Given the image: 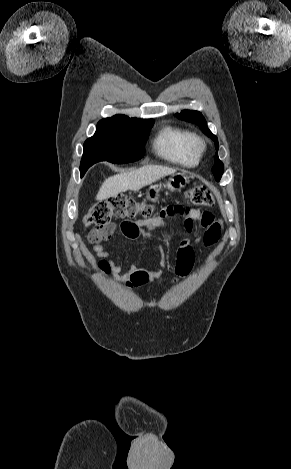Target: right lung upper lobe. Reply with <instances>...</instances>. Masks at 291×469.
Returning a JSON list of instances; mask_svg holds the SVG:
<instances>
[{
  "label": "right lung upper lobe",
  "instance_id": "right-lung-upper-lobe-1",
  "mask_svg": "<svg viewBox=\"0 0 291 469\" xmlns=\"http://www.w3.org/2000/svg\"><path fill=\"white\" fill-rule=\"evenodd\" d=\"M103 120H119V121H126V120H139V119H136V118H129L125 115H115L113 117H110V118H106V119H103Z\"/></svg>",
  "mask_w": 291,
  "mask_h": 469
}]
</instances>
